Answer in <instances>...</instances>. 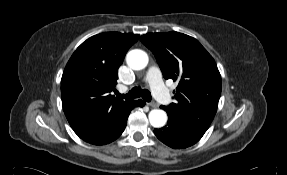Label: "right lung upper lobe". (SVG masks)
I'll use <instances>...</instances> for the list:
<instances>
[{
  "label": "right lung upper lobe",
  "instance_id": "right-lung-upper-lobe-1",
  "mask_svg": "<svg viewBox=\"0 0 287 175\" xmlns=\"http://www.w3.org/2000/svg\"><path fill=\"white\" fill-rule=\"evenodd\" d=\"M137 34L106 32L83 42L68 61L61 79L62 105L74 132L84 141L111 127L134 101L112 94L118 68Z\"/></svg>",
  "mask_w": 287,
  "mask_h": 175
}]
</instances>
